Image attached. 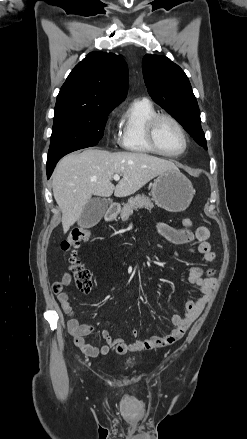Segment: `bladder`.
Listing matches in <instances>:
<instances>
[{
	"label": "bladder",
	"mask_w": 247,
	"mask_h": 439,
	"mask_svg": "<svg viewBox=\"0 0 247 439\" xmlns=\"http://www.w3.org/2000/svg\"><path fill=\"white\" fill-rule=\"evenodd\" d=\"M125 364L126 365H133L134 364V358H127L126 360H125Z\"/></svg>",
	"instance_id": "bladder-1"
}]
</instances>
